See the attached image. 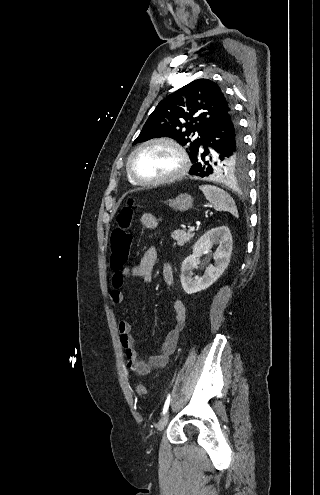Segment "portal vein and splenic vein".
I'll list each match as a JSON object with an SVG mask.
<instances>
[{
  "label": "portal vein and splenic vein",
  "instance_id": "portal-vein-and-splenic-vein-1",
  "mask_svg": "<svg viewBox=\"0 0 320 495\" xmlns=\"http://www.w3.org/2000/svg\"><path fill=\"white\" fill-rule=\"evenodd\" d=\"M195 230V226H191L189 232H193Z\"/></svg>",
  "mask_w": 320,
  "mask_h": 495
}]
</instances>
